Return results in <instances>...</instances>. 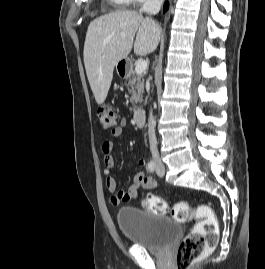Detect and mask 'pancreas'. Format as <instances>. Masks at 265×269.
<instances>
[{
    "label": "pancreas",
    "instance_id": "obj_1",
    "mask_svg": "<svg viewBox=\"0 0 265 269\" xmlns=\"http://www.w3.org/2000/svg\"><path fill=\"white\" fill-rule=\"evenodd\" d=\"M128 86L131 88L130 93H132V97L130 101L132 103L133 111L138 109V103L142 102L143 93H144V78L142 74H137L136 72H130V77L128 80Z\"/></svg>",
    "mask_w": 265,
    "mask_h": 269
}]
</instances>
